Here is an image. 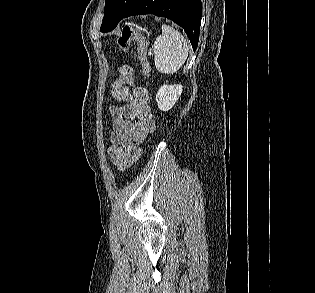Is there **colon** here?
Here are the masks:
<instances>
[{
    "label": "colon",
    "mask_w": 315,
    "mask_h": 293,
    "mask_svg": "<svg viewBox=\"0 0 315 293\" xmlns=\"http://www.w3.org/2000/svg\"><path fill=\"white\" fill-rule=\"evenodd\" d=\"M137 42V52L139 60L142 65V73L145 77L150 75V65L148 62V42L146 36L138 30L130 26H125L117 36L116 42L120 50L124 53H128L129 45L131 41ZM135 80L133 78V70L130 65L123 63L120 67L119 78H114L111 92L113 94H119L121 91H125V85H134ZM141 149H136L133 155L121 165V170H126L131 167L139 158Z\"/></svg>",
    "instance_id": "1"
}]
</instances>
